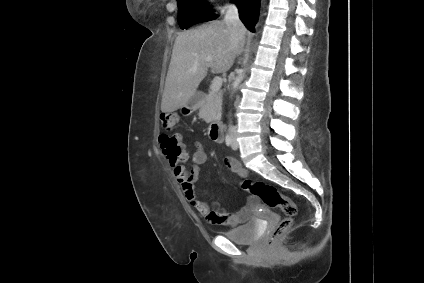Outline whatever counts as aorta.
Listing matches in <instances>:
<instances>
[{"label": "aorta", "instance_id": "1", "mask_svg": "<svg viewBox=\"0 0 424 283\" xmlns=\"http://www.w3.org/2000/svg\"><path fill=\"white\" fill-rule=\"evenodd\" d=\"M244 76H245V70L244 69H241L239 71L238 76L235 78L234 82L232 83V90H233V92H235L238 89L239 85L241 84V82L244 79Z\"/></svg>", "mask_w": 424, "mask_h": 283}]
</instances>
